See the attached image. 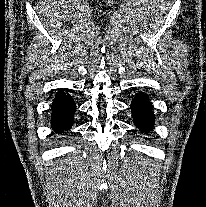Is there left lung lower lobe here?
<instances>
[{
    "mask_svg": "<svg viewBox=\"0 0 206 207\" xmlns=\"http://www.w3.org/2000/svg\"><path fill=\"white\" fill-rule=\"evenodd\" d=\"M134 123L143 132H148L154 121L151 103L144 94H138L131 103Z\"/></svg>",
    "mask_w": 206,
    "mask_h": 207,
    "instance_id": "1",
    "label": "left lung lower lobe"
}]
</instances>
